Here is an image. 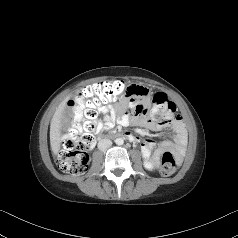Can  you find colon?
I'll use <instances>...</instances> for the list:
<instances>
[{
  "instance_id": "colon-1",
  "label": "colon",
  "mask_w": 238,
  "mask_h": 238,
  "mask_svg": "<svg viewBox=\"0 0 238 238\" xmlns=\"http://www.w3.org/2000/svg\"><path fill=\"white\" fill-rule=\"evenodd\" d=\"M130 88L121 81H102L89 85L80 90L71 101L74 113L84 115L86 121L79 126L75 123L68 137L63 143V150L58 157V168L65 173L79 175L86 171L88 164V150L94 141L96 125L94 119L98 114V107L114 101L122 95L128 96ZM151 119L157 122H168L175 117V104L164 93L153 96ZM176 170V160L171 152L162 154L160 173L163 176L172 175Z\"/></svg>"
}]
</instances>
